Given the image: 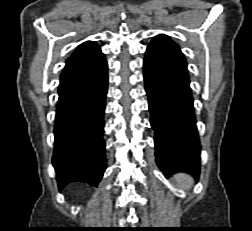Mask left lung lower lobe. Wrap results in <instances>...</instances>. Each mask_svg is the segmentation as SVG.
Masks as SVG:
<instances>
[{"label":"left lung lower lobe","mask_w":252,"mask_h":231,"mask_svg":"<svg viewBox=\"0 0 252 231\" xmlns=\"http://www.w3.org/2000/svg\"><path fill=\"white\" fill-rule=\"evenodd\" d=\"M144 80L159 168L166 177L183 171L198 179L201 146L187 63L167 35L155 36L148 45Z\"/></svg>","instance_id":"left-lung-lower-lobe-1"}]
</instances>
